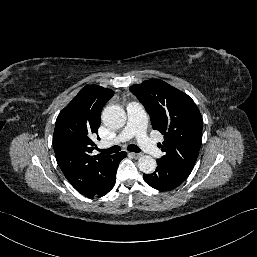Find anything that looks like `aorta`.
<instances>
[{
  "mask_svg": "<svg viewBox=\"0 0 257 257\" xmlns=\"http://www.w3.org/2000/svg\"><path fill=\"white\" fill-rule=\"evenodd\" d=\"M126 113L118 105L107 106L102 112L103 123L113 129L121 128L126 123ZM138 168L145 174H151L156 169V161L148 155L141 156L138 160Z\"/></svg>",
  "mask_w": 257,
  "mask_h": 257,
  "instance_id": "762f6f07",
  "label": "aorta"
}]
</instances>
